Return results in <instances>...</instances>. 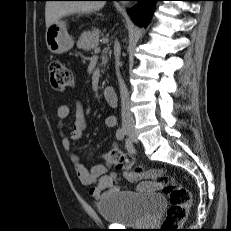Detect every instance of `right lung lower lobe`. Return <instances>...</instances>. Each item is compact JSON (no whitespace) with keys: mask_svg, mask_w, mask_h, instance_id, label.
Wrapping results in <instances>:
<instances>
[{"mask_svg":"<svg viewBox=\"0 0 231 231\" xmlns=\"http://www.w3.org/2000/svg\"><path fill=\"white\" fill-rule=\"evenodd\" d=\"M109 1V0H106ZM139 1V4L128 11V14L138 26H146L150 20L154 3L160 0H130Z\"/></svg>","mask_w":231,"mask_h":231,"instance_id":"1","label":"right lung lower lobe"}]
</instances>
